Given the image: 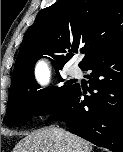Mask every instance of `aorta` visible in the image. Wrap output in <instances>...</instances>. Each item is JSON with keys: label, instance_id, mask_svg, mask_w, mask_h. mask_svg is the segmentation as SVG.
Returning a JSON list of instances; mask_svg holds the SVG:
<instances>
[{"label": "aorta", "instance_id": "1", "mask_svg": "<svg viewBox=\"0 0 123 152\" xmlns=\"http://www.w3.org/2000/svg\"><path fill=\"white\" fill-rule=\"evenodd\" d=\"M37 74L41 83H45L47 80V66L45 63L40 62L37 65Z\"/></svg>", "mask_w": 123, "mask_h": 152}]
</instances>
